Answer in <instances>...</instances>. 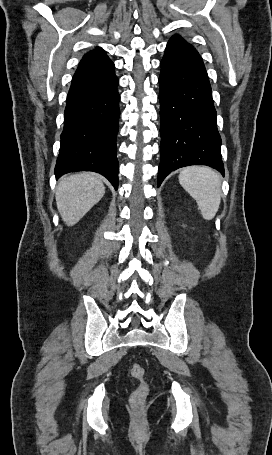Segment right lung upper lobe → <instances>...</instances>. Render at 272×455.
<instances>
[{"instance_id": "cb5924a9", "label": "right lung upper lobe", "mask_w": 272, "mask_h": 455, "mask_svg": "<svg viewBox=\"0 0 272 455\" xmlns=\"http://www.w3.org/2000/svg\"><path fill=\"white\" fill-rule=\"evenodd\" d=\"M114 70V63L108 58L104 50L96 47L85 54L72 78V83L89 80Z\"/></svg>"}]
</instances>
